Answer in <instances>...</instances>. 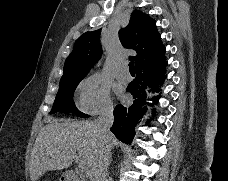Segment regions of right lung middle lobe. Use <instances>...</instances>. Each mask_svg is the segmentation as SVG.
<instances>
[{"instance_id": "dd1d6c3e", "label": "right lung middle lobe", "mask_w": 228, "mask_h": 181, "mask_svg": "<svg viewBox=\"0 0 228 181\" xmlns=\"http://www.w3.org/2000/svg\"><path fill=\"white\" fill-rule=\"evenodd\" d=\"M81 80L67 81L60 83L59 91L56 95L55 102L52 107L51 113L58 111L72 112L81 118H88L89 115L80 112L73 101L74 91Z\"/></svg>"}]
</instances>
